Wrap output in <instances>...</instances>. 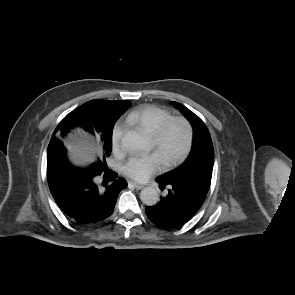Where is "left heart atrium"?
I'll use <instances>...</instances> for the list:
<instances>
[{"label": "left heart atrium", "instance_id": "obj_1", "mask_svg": "<svg viewBox=\"0 0 295 295\" xmlns=\"http://www.w3.org/2000/svg\"><path fill=\"white\" fill-rule=\"evenodd\" d=\"M163 166L164 162L156 152L147 155H133L124 165V172L132 179L144 182L159 172Z\"/></svg>", "mask_w": 295, "mask_h": 295}]
</instances>
